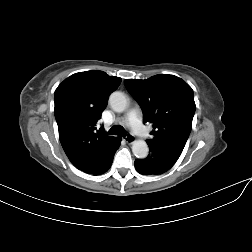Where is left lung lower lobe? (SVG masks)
Here are the masks:
<instances>
[{
	"instance_id": "obj_1",
	"label": "left lung lower lobe",
	"mask_w": 252,
	"mask_h": 252,
	"mask_svg": "<svg viewBox=\"0 0 252 252\" xmlns=\"http://www.w3.org/2000/svg\"><path fill=\"white\" fill-rule=\"evenodd\" d=\"M149 155L134 162L136 170L142 175H159L168 171L178 160L181 153L174 149L147 142Z\"/></svg>"
}]
</instances>
